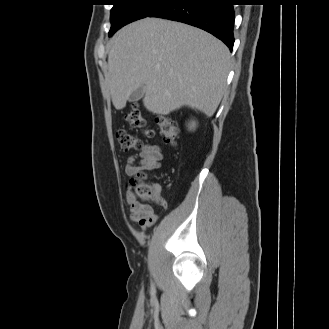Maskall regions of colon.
Instances as JSON below:
<instances>
[{
	"instance_id": "5ec220e1",
	"label": "colon",
	"mask_w": 329,
	"mask_h": 329,
	"mask_svg": "<svg viewBox=\"0 0 329 329\" xmlns=\"http://www.w3.org/2000/svg\"><path fill=\"white\" fill-rule=\"evenodd\" d=\"M125 120L134 128L140 129L147 137L152 136V131L148 128L146 120L138 105L133 104L125 115ZM158 130L167 144L175 145L178 139L179 128L170 115H161L157 120ZM116 139L121 149L125 151L138 150L141 142L132 134L125 130L116 132ZM127 189L137 202H142L146 208H151L150 204H161V198L155 188L146 181V175L136 173L127 183Z\"/></svg>"
}]
</instances>
